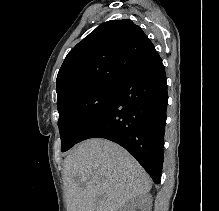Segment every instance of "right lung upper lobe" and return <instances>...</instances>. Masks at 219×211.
I'll return each instance as SVG.
<instances>
[{"mask_svg":"<svg viewBox=\"0 0 219 211\" xmlns=\"http://www.w3.org/2000/svg\"><path fill=\"white\" fill-rule=\"evenodd\" d=\"M159 55L131 20L107 21L66 56L57 76V103L99 85L117 86Z\"/></svg>","mask_w":219,"mask_h":211,"instance_id":"right-lung-upper-lobe-1","label":"right lung upper lobe"}]
</instances>
